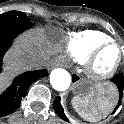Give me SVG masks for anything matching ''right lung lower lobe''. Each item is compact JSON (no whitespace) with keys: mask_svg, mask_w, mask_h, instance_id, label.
I'll use <instances>...</instances> for the list:
<instances>
[{"mask_svg":"<svg viewBox=\"0 0 124 124\" xmlns=\"http://www.w3.org/2000/svg\"><path fill=\"white\" fill-rule=\"evenodd\" d=\"M32 25L30 22H0V72L3 56L10 48L13 39ZM47 75V70H35L17 76L12 85L0 96V117L16 111L29 86L34 81Z\"/></svg>","mask_w":124,"mask_h":124,"instance_id":"98d812e1","label":"right lung lower lobe"}]
</instances>
